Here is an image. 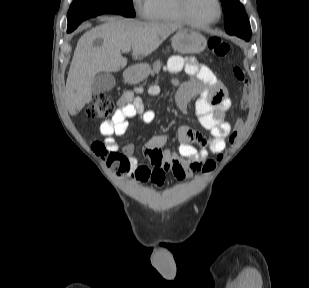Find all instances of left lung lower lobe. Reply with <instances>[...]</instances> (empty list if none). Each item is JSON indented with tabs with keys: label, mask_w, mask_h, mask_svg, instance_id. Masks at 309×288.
Here are the masks:
<instances>
[{
	"label": "left lung lower lobe",
	"mask_w": 309,
	"mask_h": 288,
	"mask_svg": "<svg viewBox=\"0 0 309 288\" xmlns=\"http://www.w3.org/2000/svg\"><path fill=\"white\" fill-rule=\"evenodd\" d=\"M228 34L237 35L238 37L243 38L246 41H249L252 32L250 30V31H247V32H231V33H228Z\"/></svg>",
	"instance_id": "left-lung-lower-lobe-1"
}]
</instances>
